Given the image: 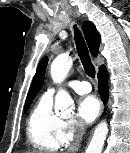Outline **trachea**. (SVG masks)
Here are the masks:
<instances>
[{"label": "trachea", "mask_w": 130, "mask_h": 153, "mask_svg": "<svg viewBox=\"0 0 130 153\" xmlns=\"http://www.w3.org/2000/svg\"><path fill=\"white\" fill-rule=\"evenodd\" d=\"M73 28H74V36H75L77 52L83 64L85 73L89 77L95 78V67L91 61L89 51L85 43V40L82 36V33L77 29L76 25H74Z\"/></svg>", "instance_id": "1"}]
</instances>
